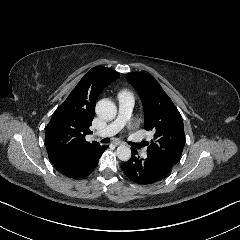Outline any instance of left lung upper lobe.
I'll return each mask as SVG.
<instances>
[{
    "label": "left lung upper lobe",
    "instance_id": "obj_1",
    "mask_svg": "<svg viewBox=\"0 0 240 240\" xmlns=\"http://www.w3.org/2000/svg\"><path fill=\"white\" fill-rule=\"evenodd\" d=\"M125 76L141 97L145 129L154 133L147 153L173 166L181 157L185 144L181 114L154 77L143 72Z\"/></svg>",
    "mask_w": 240,
    "mask_h": 240
}]
</instances>
